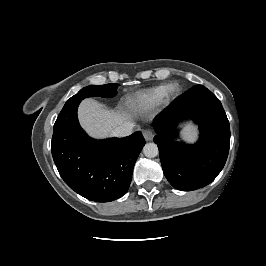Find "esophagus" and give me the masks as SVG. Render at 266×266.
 <instances>
[{"instance_id":"obj_1","label":"esophagus","mask_w":266,"mask_h":266,"mask_svg":"<svg viewBox=\"0 0 266 266\" xmlns=\"http://www.w3.org/2000/svg\"><path fill=\"white\" fill-rule=\"evenodd\" d=\"M143 137L146 141H151L154 137V133L151 130L147 129L143 131Z\"/></svg>"}]
</instances>
